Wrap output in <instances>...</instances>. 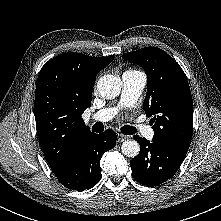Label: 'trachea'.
<instances>
[{
  "mask_svg": "<svg viewBox=\"0 0 221 221\" xmlns=\"http://www.w3.org/2000/svg\"><path fill=\"white\" fill-rule=\"evenodd\" d=\"M121 131L126 135H132V134L136 133V129L132 126H129V125L123 126L121 128Z\"/></svg>",
  "mask_w": 221,
  "mask_h": 221,
  "instance_id": "1",
  "label": "trachea"
}]
</instances>
